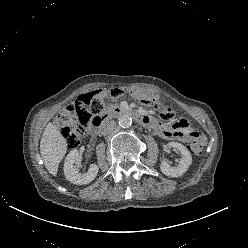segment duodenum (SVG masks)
<instances>
[{
	"label": "duodenum",
	"instance_id": "410a0bca",
	"mask_svg": "<svg viewBox=\"0 0 248 248\" xmlns=\"http://www.w3.org/2000/svg\"><path fill=\"white\" fill-rule=\"evenodd\" d=\"M120 115H130L135 120H137L138 122L142 123L145 126L155 127L156 125V122L147 115H144L142 113H139V112H136V111L124 108V107H115L93 120L91 127L89 129L90 135L96 136L99 133L102 125L106 121H108L109 119L113 117L120 116Z\"/></svg>",
	"mask_w": 248,
	"mask_h": 248
}]
</instances>
